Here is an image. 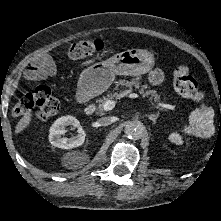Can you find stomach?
Returning <instances> with one entry per match:
<instances>
[{"instance_id": "1", "label": "stomach", "mask_w": 221, "mask_h": 221, "mask_svg": "<svg viewBox=\"0 0 221 221\" xmlns=\"http://www.w3.org/2000/svg\"><path fill=\"white\" fill-rule=\"evenodd\" d=\"M154 63L153 54L144 49H129L117 53L81 72L78 93L83 99H91L106 91L114 81L115 75L140 76L148 73Z\"/></svg>"}]
</instances>
